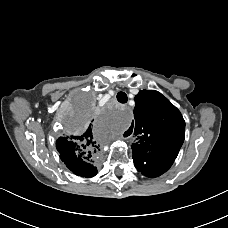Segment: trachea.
I'll return each mask as SVG.
<instances>
[{"mask_svg": "<svg viewBox=\"0 0 228 228\" xmlns=\"http://www.w3.org/2000/svg\"><path fill=\"white\" fill-rule=\"evenodd\" d=\"M117 100H118V102H120V103H122V104H125V103H127V101H128V97H127L126 93H124V92H119V93L117 94Z\"/></svg>", "mask_w": 228, "mask_h": 228, "instance_id": "1", "label": "trachea"}]
</instances>
